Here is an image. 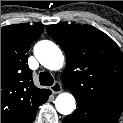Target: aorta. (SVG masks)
I'll return each instance as SVG.
<instances>
[{
	"instance_id": "762f6f07",
	"label": "aorta",
	"mask_w": 123,
	"mask_h": 123,
	"mask_svg": "<svg viewBox=\"0 0 123 123\" xmlns=\"http://www.w3.org/2000/svg\"><path fill=\"white\" fill-rule=\"evenodd\" d=\"M34 54L38 61L49 70H59L63 67L64 56L60 48L51 41H39L34 47ZM55 107L60 114H71L76 108L74 96L68 92L59 94L55 100Z\"/></svg>"
}]
</instances>
